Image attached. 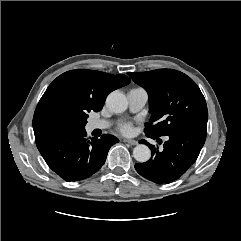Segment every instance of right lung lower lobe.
<instances>
[{
  "label": "right lung lower lobe",
  "mask_w": 241,
  "mask_h": 241,
  "mask_svg": "<svg viewBox=\"0 0 241 241\" xmlns=\"http://www.w3.org/2000/svg\"><path fill=\"white\" fill-rule=\"evenodd\" d=\"M35 141L51 170L64 180L75 182L97 172L110 147L119 140L110 134L89 140L85 128H67L35 136Z\"/></svg>",
  "instance_id": "98d812e1"
}]
</instances>
